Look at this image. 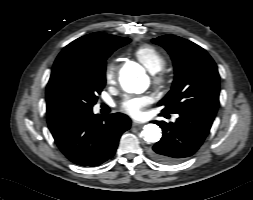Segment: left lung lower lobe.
I'll return each instance as SVG.
<instances>
[{
    "mask_svg": "<svg viewBox=\"0 0 253 200\" xmlns=\"http://www.w3.org/2000/svg\"><path fill=\"white\" fill-rule=\"evenodd\" d=\"M178 114L175 123L156 121L163 131L161 140L149 150L156 161L174 164L193 155L208 135L215 118V114L201 111Z\"/></svg>",
    "mask_w": 253,
    "mask_h": 200,
    "instance_id": "0a47b994",
    "label": "left lung lower lobe"
}]
</instances>
